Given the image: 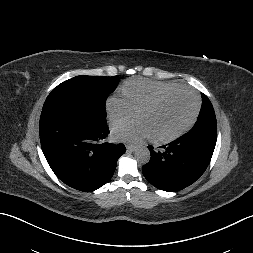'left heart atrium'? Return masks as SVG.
Here are the masks:
<instances>
[{
  "instance_id": "39dd6f15",
  "label": "left heart atrium",
  "mask_w": 253,
  "mask_h": 253,
  "mask_svg": "<svg viewBox=\"0 0 253 253\" xmlns=\"http://www.w3.org/2000/svg\"><path fill=\"white\" fill-rule=\"evenodd\" d=\"M112 137L115 141L128 143L153 138L149 126L142 120L114 125Z\"/></svg>"
}]
</instances>
